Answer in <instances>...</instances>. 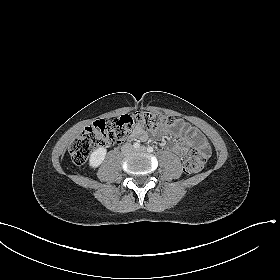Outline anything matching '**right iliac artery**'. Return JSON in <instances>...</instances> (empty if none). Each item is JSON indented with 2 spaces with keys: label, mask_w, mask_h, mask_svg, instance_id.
<instances>
[{
  "label": "right iliac artery",
  "mask_w": 280,
  "mask_h": 280,
  "mask_svg": "<svg viewBox=\"0 0 280 280\" xmlns=\"http://www.w3.org/2000/svg\"><path fill=\"white\" fill-rule=\"evenodd\" d=\"M133 147L135 149H139L140 148V144L138 142H136V143L133 144Z\"/></svg>",
  "instance_id": "82829eb1"
}]
</instances>
